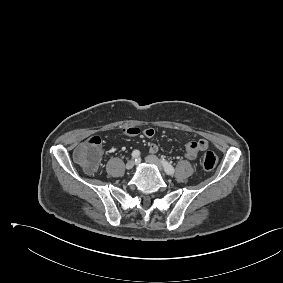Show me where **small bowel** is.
Listing matches in <instances>:
<instances>
[{"label":"small bowel","mask_w":283,"mask_h":283,"mask_svg":"<svg viewBox=\"0 0 283 283\" xmlns=\"http://www.w3.org/2000/svg\"><path fill=\"white\" fill-rule=\"evenodd\" d=\"M123 132L128 136H137L139 134H143L144 136L151 138L154 136L155 131L152 128H146L144 130H140L138 127H126L123 129ZM208 141L204 138L190 141L185 145V156L186 158L193 160L197 157V155L205 151L208 148ZM150 153L154 154L158 151V146L155 143H151L149 146Z\"/></svg>","instance_id":"obj_1"}]
</instances>
